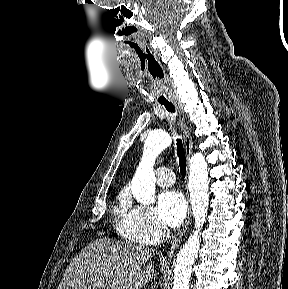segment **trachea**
I'll return each mask as SVG.
<instances>
[{"mask_svg": "<svg viewBox=\"0 0 288 289\" xmlns=\"http://www.w3.org/2000/svg\"><path fill=\"white\" fill-rule=\"evenodd\" d=\"M139 61L142 69H144L151 77L153 82V96L154 98L163 104L166 110L170 113H175L173 104L166 100L167 92L164 87L165 74L153 53L148 49H141L137 51ZM177 143V155L179 157L180 173L182 177L186 175V157L181 139H176Z\"/></svg>", "mask_w": 288, "mask_h": 289, "instance_id": "trachea-1", "label": "trachea"}]
</instances>
